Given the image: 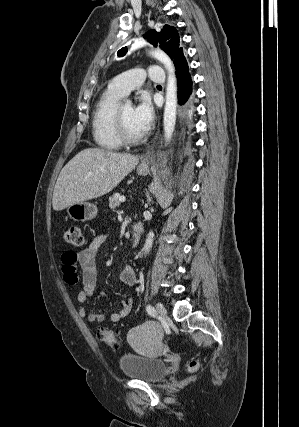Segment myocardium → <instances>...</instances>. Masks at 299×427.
Segmentation results:
<instances>
[{
  "label": "myocardium",
  "instance_id": "f54148a6",
  "mask_svg": "<svg viewBox=\"0 0 299 427\" xmlns=\"http://www.w3.org/2000/svg\"><path fill=\"white\" fill-rule=\"evenodd\" d=\"M122 106L123 104H119L114 113V124H115L117 136L119 137L122 143L130 144V145L137 144L143 140V138L145 137V134L142 133L137 136H132L131 134H129L123 120Z\"/></svg>",
  "mask_w": 299,
  "mask_h": 427
}]
</instances>
